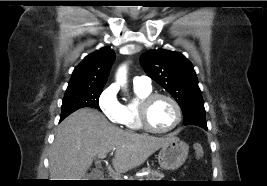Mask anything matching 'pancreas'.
Returning a JSON list of instances; mask_svg holds the SVG:
<instances>
[{
    "label": "pancreas",
    "mask_w": 267,
    "mask_h": 186,
    "mask_svg": "<svg viewBox=\"0 0 267 186\" xmlns=\"http://www.w3.org/2000/svg\"><path fill=\"white\" fill-rule=\"evenodd\" d=\"M143 171H150L149 174L144 176L145 181H161V179L164 177V174L161 173L158 170H151L149 167L145 168ZM141 180V179H139Z\"/></svg>",
    "instance_id": "1"
}]
</instances>
